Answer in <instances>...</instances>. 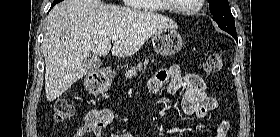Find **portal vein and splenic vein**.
Instances as JSON below:
<instances>
[{"mask_svg":"<svg viewBox=\"0 0 280 137\" xmlns=\"http://www.w3.org/2000/svg\"><path fill=\"white\" fill-rule=\"evenodd\" d=\"M118 38H119V35H113L111 39H112V41H115V40H118Z\"/></svg>","mask_w":280,"mask_h":137,"instance_id":"18ae733b","label":"portal vein and splenic vein"}]
</instances>
